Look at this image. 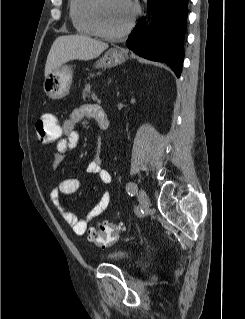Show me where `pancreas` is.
<instances>
[{
	"label": "pancreas",
	"mask_w": 245,
	"mask_h": 319,
	"mask_svg": "<svg viewBox=\"0 0 245 319\" xmlns=\"http://www.w3.org/2000/svg\"><path fill=\"white\" fill-rule=\"evenodd\" d=\"M90 93H91V85L88 83L85 85V88L83 89V92H82L83 99H86L87 97H89Z\"/></svg>",
	"instance_id": "1"
}]
</instances>
